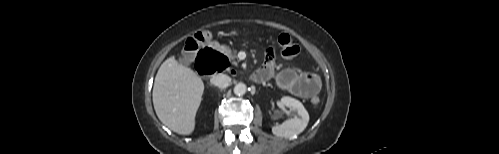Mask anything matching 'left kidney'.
I'll return each instance as SVG.
<instances>
[{"mask_svg": "<svg viewBox=\"0 0 499 154\" xmlns=\"http://www.w3.org/2000/svg\"><path fill=\"white\" fill-rule=\"evenodd\" d=\"M281 103L290 109L293 118L286 120L280 125L273 126V134L279 137L290 138L303 132L309 122V114L303 104L288 96L282 97Z\"/></svg>", "mask_w": 499, "mask_h": 154, "instance_id": "1", "label": "left kidney"}]
</instances>
